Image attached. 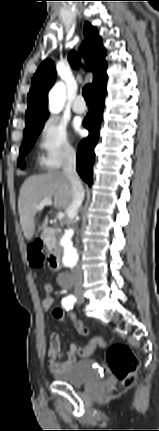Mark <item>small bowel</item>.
Wrapping results in <instances>:
<instances>
[{
    "label": "small bowel",
    "mask_w": 159,
    "mask_h": 431,
    "mask_svg": "<svg viewBox=\"0 0 159 431\" xmlns=\"http://www.w3.org/2000/svg\"><path fill=\"white\" fill-rule=\"evenodd\" d=\"M44 290L46 292V296L42 300V305L44 309L48 310V308L46 307V302H47L46 300H47V297L51 295V293L53 292L54 287L50 283H45ZM75 311L80 313L79 310H75ZM78 348H79L78 345L70 344L65 353V356H63L61 351V342H60L59 335L56 333L51 334L49 348L47 351V358L49 361L50 369L53 371H59L71 366L73 363H75L78 357V354H77Z\"/></svg>",
    "instance_id": "c3829d8e"
}]
</instances>
